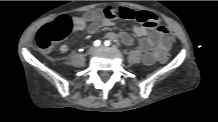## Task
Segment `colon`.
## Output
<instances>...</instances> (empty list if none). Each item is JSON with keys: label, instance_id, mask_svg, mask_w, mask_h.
Segmentation results:
<instances>
[{"label": "colon", "instance_id": "5ec220e1", "mask_svg": "<svg viewBox=\"0 0 218 122\" xmlns=\"http://www.w3.org/2000/svg\"><path fill=\"white\" fill-rule=\"evenodd\" d=\"M105 14L109 18H123L135 20L147 28L159 27V18L152 12L135 11L123 7H109L105 10ZM71 19L66 16H60L54 21L43 26L36 35L37 46L44 51L51 50L55 44L64 39L71 30ZM173 56L171 51H165L163 55L157 56V61L161 66H164L167 61Z\"/></svg>", "mask_w": 218, "mask_h": 122}]
</instances>
